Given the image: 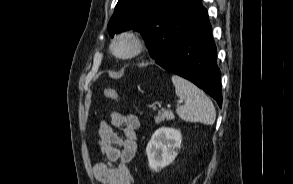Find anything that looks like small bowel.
Masks as SVG:
<instances>
[{"mask_svg": "<svg viewBox=\"0 0 293 184\" xmlns=\"http://www.w3.org/2000/svg\"><path fill=\"white\" fill-rule=\"evenodd\" d=\"M140 120L136 114L113 112L110 122L99 124V148L103 160L93 166V176L101 184H133L128 163L137 152L136 131ZM113 128L123 131L118 134Z\"/></svg>", "mask_w": 293, "mask_h": 184, "instance_id": "c3829d8e", "label": "small bowel"}]
</instances>
